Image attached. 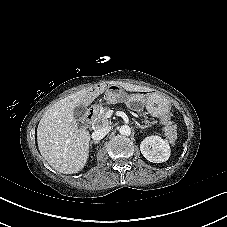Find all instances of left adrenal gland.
<instances>
[{
	"label": "left adrenal gland",
	"instance_id": "1",
	"mask_svg": "<svg viewBox=\"0 0 227 227\" xmlns=\"http://www.w3.org/2000/svg\"><path fill=\"white\" fill-rule=\"evenodd\" d=\"M137 127L140 129H145L148 127V125H140L139 123H137Z\"/></svg>",
	"mask_w": 227,
	"mask_h": 227
}]
</instances>
